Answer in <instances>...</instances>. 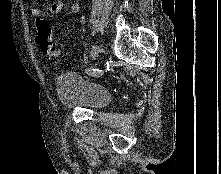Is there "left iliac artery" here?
<instances>
[{
	"instance_id": "44dca946",
	"label": "left iliac artery",
	"mask_w": 221,
	"mask_h": 174,
	"mask_svg": "<svg viewBox=\"0 0 221 174\" xmlns=\"http://www.w3.org/2000/svg\"><path fill=\"white\" fill-rule=\"evenodd\" d=\"M103 70L102 69H93V70H88V73L98 76V75H102L103 74Z\"/></svg>"
}]
</instances>
